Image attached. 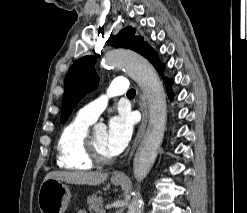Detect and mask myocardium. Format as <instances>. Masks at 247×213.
Here are the masks:
<instances>
[{
  "instance_id": "f54148a6",
  "label": "myocardium",
  "mask_w": 247,
  "mask_h": 213,
  "mask_svg": "<svg viewBox=\"0 0 247 213\" xmlns=\"http://www.w3.org/2000/svg\"><path fill=\"white\" fill-rule=\"evenodd\" d=\"M84 155L88 161H90L92 164H109L111 163L114 158L113 157H103L101 156L94 144L93 136L91 133H87L85 139H84Z\"/></svg>"
}]
</instances>
